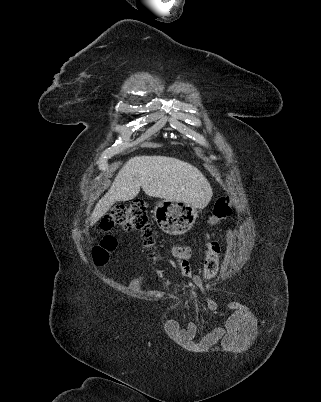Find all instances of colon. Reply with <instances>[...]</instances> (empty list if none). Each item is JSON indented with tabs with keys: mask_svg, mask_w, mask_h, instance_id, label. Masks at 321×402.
<instances>
[{
	"mask_svg": "<svg viewBox=\"0 0 321 402\" xmlns=\"http://www.w3.org/2000/svg\"><path fill=\"white\" fill-rule=\"evenodd\" d=\"M231 200L229 198L217 199L210 215V224L215 225L226 219L231 212ZM115 227L125 231H140L145 239L146 245L151 247L154 243V233L148 221L147 207L142 201H135L129 205L116 207L111 214L105 217L101 223L103 232H109ZM117 247V239L111 234H106L92 250L94 262L105 264L109 254ZM221 257L220 243L212 236L205 242V256L203 265V282L216 276ZM155 258V257H153Z\"/></svg>",
	"mask_w": 321,
	"mask_h": 402,
	"instance_id": "5ec220e1",
	"label": "colon"
}]
</instances>
